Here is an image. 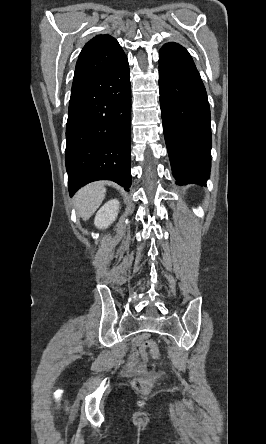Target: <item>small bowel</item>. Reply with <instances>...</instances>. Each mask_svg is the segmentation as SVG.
Segmentation results:
<instances>
[{
	"instance_id": "1",
	"label": "small bowel",
	"mask_w": 266,
	"mask_h": 444,
	"mask_svg": "<svg viewBox=\"0 0 266 444\" xmlns=\"http://www.w3.org/2000/svg\"><path fill=\"white\" fill-rule=\"evenodd\" d=\"M124 373L128 376L142 375L146 373V368L143 365L140 353L137 350H134L130 354Z\"/></svg>"
}]
</instances>
